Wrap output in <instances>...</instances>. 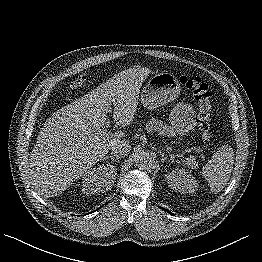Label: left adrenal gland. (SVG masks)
<instances>
[{
    "mask_svg": "<svg viewBox=\"0 0 262 262\" xmlns=\"http://www.w3.org/2000/svg\"><path fill=\"white\" fill-rule=\"evenodd\" d=\"M160 155H161V161L164 162L165 160H169L171 162H173V159H169L167 156L164 155V153L162 151H159Z\"/></svg>",
    "mask_w": 262,
    "mask_h": 262,
    "instance_id": "a2214340",
    "label": "left adrenal gland"
}]
</instances>
